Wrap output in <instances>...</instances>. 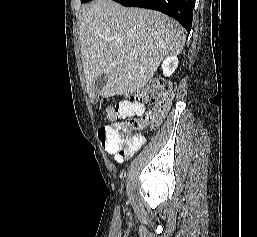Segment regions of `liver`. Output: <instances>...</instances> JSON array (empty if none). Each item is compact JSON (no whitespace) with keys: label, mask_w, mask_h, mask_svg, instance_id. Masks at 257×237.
Listing matches in <instances>:
<instances>
[{"label":"liver","mask_w":257,"mask_h":237,"mask_svg":"<svg viewBox=\"0 0 257 237\" xmlns=\"http://www.w3.org/2000/svg\"><path fill=\"white\" fill-rule=\"evenodd\" d=\"M79 39L87 90L94 99V84L102 73L108 76L102 98L140 91L165 57L182 51L186 35L158 11L97 0L83 11Z\"/></svg>","instance_id":"obj_1"}]
</instances>
